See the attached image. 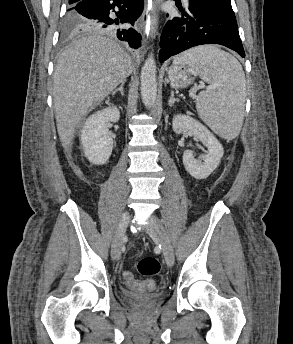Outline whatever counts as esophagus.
I'll use <instances>...</instances> for the list:
<instances>
[{"label": "esophagus", "mask_w": 293, "mask_h": 344, "mask_svg": "<svg viewBox=\"0 0 293 344\" xmlns=\"http://www.w3.org/2000/svg\"><path fill=\"white\" fill-rule=\"evenodd\" d=\"M156 1L157 0H147L144 13L142 15V20L149 26L150 36L155 37L157 32V18H156Z\"/></svg>", "instance_id": "esophagus-1"}]
</instances>
